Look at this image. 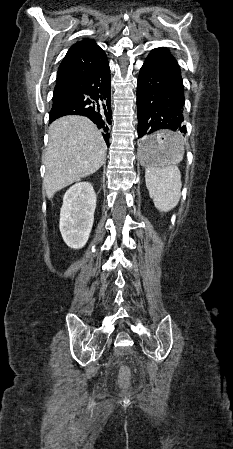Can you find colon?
I'll return each mask as SVG.
<instances>
[{
  "mask_svg": "<svg viewBox=\"0 0 233 449\" xmlns=\"http://www.w3.org/2000/svg\"><path fill=\"white\" fill-rule=\"evenodd\" d=\"M131 375L128 371H122L119 375L118 383L123 389H127L130 386Z\"/></svg>",
  "mask_w": 233,
  "mask_h": 449,
  "instance_id": "1",
  "label": "colon"
}]
</instances>
